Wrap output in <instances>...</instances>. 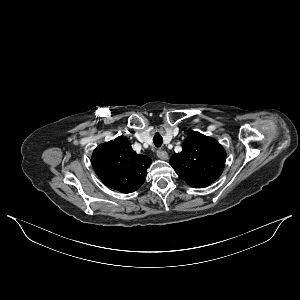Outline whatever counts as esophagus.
<instances>
[{"label": "esophagus", "mask_w": 300, "mask_h": 300, "mask_svg": "<svg viewBox=\"0 0 300 300\" xmlns=\"http://www.w3.org/2000/svg\"><path fill=\"white\" fill-rule=\"evenodd\" d=\"M157 156L161 160H167L168 159V153L166 151L159 150L157 152Z\"/></svg>", "instance_id": "34e87169"}]
</instances>
